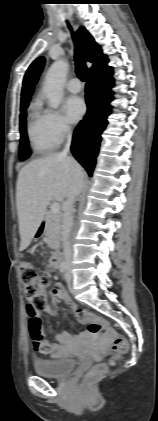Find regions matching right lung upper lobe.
<instances>
[{
	"label": "right lung upper lobe",
	"instance_id": "cb5924a9",
	"mask_svg": "<svg viewBox=\"0 0 158 421\" xmlns=\"http://www.w3.org/2000/svg\"><path fill=\"white\" fill-rule=\"evenodd\" d=\"M77 34L79 45L83 50L86 60L93 63L89 71L92 72L103 66L108 61L107 57L102 53L100 46L94 41L93 37L84 27H80ZM44 63V57H39L28 68L23 79L21 105L28 104L34 90V85L44 67Z\"/></svg>",
	"mask_w": 158,
	"mask_h": 421
}]
</instances>
